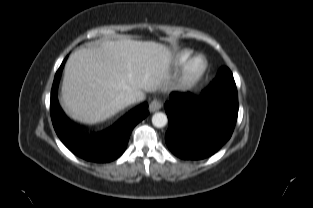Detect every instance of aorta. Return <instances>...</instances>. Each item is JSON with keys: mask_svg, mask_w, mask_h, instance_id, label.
I'll return each mask as SVG.
<instances>
[{"mask_svg": "<svg viewBox=\"0 0 313 208\" xmlns=\"http://www.w3.org/2000/svg\"><path fill=\"white\" fill-rule=\"evenodd\" d=\"M168 122V118L166 114L162 112H157L152 116V124L157 127L161 128L164 127Z\"/></svg>", "mask_w": 313, "mask_h": 208, "instance_id": "obj_1", "label": "aorta"}]
</instances>
